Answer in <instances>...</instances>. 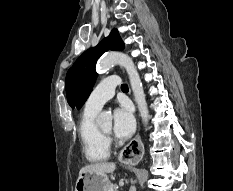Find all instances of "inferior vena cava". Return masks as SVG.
<instances>
[{
	"mask_svg": "<svg viewBox=\"0 0 233 191\" xmlns=\"http://www.w3.org/2000/svg\"><path fill=\"white\" fill-rule=\"evenodd\" d=\"M130 191H136V188H135L134 186H132V187L130 188Z\"/></svg>",
	"mask_w": 233,
	"mask_h": 191,
	"instance_id": "inferior-vena-cava-1",
	"label": "inferior vena cava"
}]
</instances>
